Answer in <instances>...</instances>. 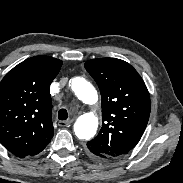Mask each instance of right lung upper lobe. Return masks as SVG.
Listing matches in <instances>:
<instances>
[{"label": "right lung upper lobe", "mask_w": 183, "mask_h": 183, "mask_svg": "<svg viewBox=\"0 0 183 183\" xmlns=\"http://www.w3.org/2000/svg\"><path fill=\"white\" fill-rule=\"evenodd\" d=\"M61 66V60L35 56L0 82V142L17 157L38 154L53 137L49 88Z\"/></svg>", "instance_id": "right-lung-upper-lobe-1"}]
</instances>
